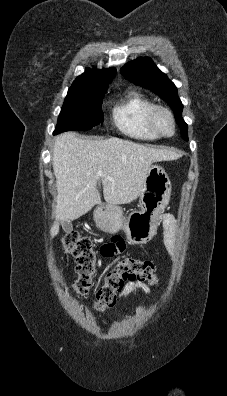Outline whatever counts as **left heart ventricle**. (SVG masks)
<instances>
[{
  "mask_svg": "<svg viewBox=\"0 0 227 396\" xmlns=\"http://www.w3.org/2000/svg\"><path fill=\"white\" fill-rule=\"evenodd\" d=\"M157 121H158L159 127H160L164 132H167V133L171 132V121H170V119L168 118L167 115H165V114H160V115L158 116Z\"/></svg>",
  "mask_w": 227,
  "mask_h": 396,
  "instance_id": "b2bd125f",
  "label": "left heart ventricle"
}]
</instances>
